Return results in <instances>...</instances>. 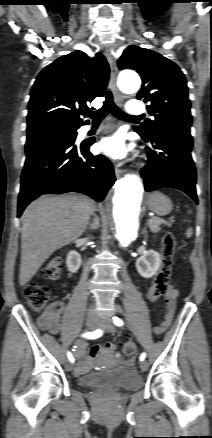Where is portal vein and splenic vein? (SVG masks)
I'll use <instances>...</instances> for the list:
<instances>
[{"label":"portal vein and splenic vein","mask_w":212,"mask_h":438,"mask_svg":"<svg viewBox=\"0 0 212 438\" xmlns=\"http://www.w3.org/2000/svg\"><path fill=\"white\" fill-rule=\"evenodd\" d=\"M160 221H161V223H165V224L168 223V222H167L166 220H164V219H160Z\"/></svg>","instance_id":"1"}]
</instances>
